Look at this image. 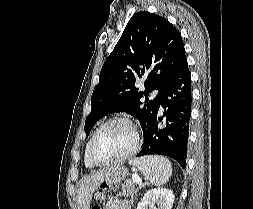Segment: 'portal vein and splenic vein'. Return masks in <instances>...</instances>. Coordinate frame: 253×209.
<instances>
[{"mask_svg": "<svg viewBox=\"0 0 253 209\" xmlns=\"http://www.w3.org/2000/svg\"><path fill=\"white\" fill-rule=\"evenodd\" d=\"M132 179H133V181H135L137 184L141 185L142 179L140 178V176H138L137 174H133V175H132Z\"/></svg>", "mask_w": 253, "mask_h": 209, "instance_id": "18ae733b", "label": "portal vein and splenic vein"}]
</instances>
